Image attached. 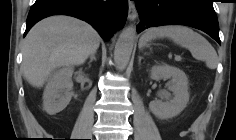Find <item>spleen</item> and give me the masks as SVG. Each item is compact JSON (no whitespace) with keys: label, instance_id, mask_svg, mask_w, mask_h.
<instances>
[{"label":"spleen","instance_id":"1","mask_svg":"<svg viewBox=\"0 0 236 140\" xmlns=\"http://www.w3.org/2000/svg\"><path fill=\"white\" fill-rule=\"evenodd\" d=\"M165 37L188 49L194 58L205 61L208 68L215 69L217 67V53L212 45L202 35L185 26L151 28L142 35L139 46L143 47L152 39Z\"/></svg>","mask_w":236,"mask_h":140}]
</instances>
